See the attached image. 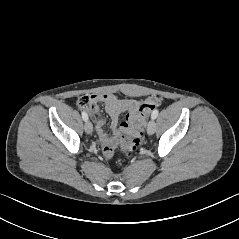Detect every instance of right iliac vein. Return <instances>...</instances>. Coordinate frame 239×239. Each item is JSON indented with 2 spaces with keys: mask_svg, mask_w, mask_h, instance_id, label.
<instances>
[{
  "mask_svg": "<svg viewBox=\"0 0 239 239\" xmlns=\"http://www.w3.org/2000/svg\"><path fill=\"white\" fill-rule=\"evenodd\" d=\"M84 129H85V132L87 134H92L93 132V125L90 121H86L85 125H84Z\"/></svg>",
  "mask_w": 239,
  "mask_h": 239,
  "instance_id": "obj_1",
  "label": "right iliac vein"
}]
</instances>
